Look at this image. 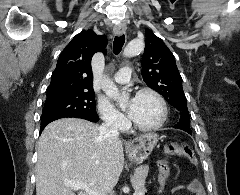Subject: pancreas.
Returning a JSON list of instances; mask_svg holds the SVG:
<instances>
[{
    "label": "pancreas",
    "mask_w": 240,
    "mask_h": 195,
    "mask_svg": "<svg viewBox=\"0 0 240 195\" xmlns=\"http://www.w3.org/2000/svg\"><path fill=\"white\" fill-rule=\"evenodd\" d=\"M149 165H138L134 175L131 177V183L135 189V193H144L146 191L145 181L148 175Z\"/></svg>",
    "instance_id": "obj_1"
}]
</instances>
